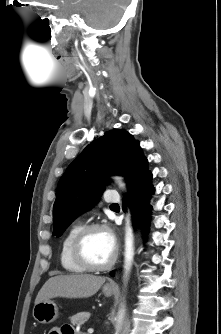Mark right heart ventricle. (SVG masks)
I'll list each match as a JSON object with an SVG mask.
<instances>
[{"label":"right heart ventricle","instance_id":"right-heart-ventricle-1","mask_svg":"<svg viewBox=\"0 0 221 334\" xmlns=\"http://www.w3.org/2000/svg\"><path fill=\"white\" fill-rule=\"evenodd\" d=\"M81 227L80 223L73 224L63 237L60 247V264L66 272L73 274H79L86 271V269L80 266L72 256V243Z\"/></svg>","mask_w":221,"mask_h":334}]
</instances>
